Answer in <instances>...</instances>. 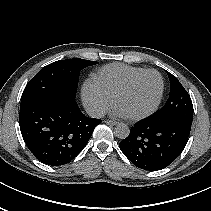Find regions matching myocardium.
Here are the masks:
<instances>
[{
  "label": "myocardium",
  "mask_w": 211,
  "mask_h": 211,
  "mask_svg": "<svg viewBox=\"0 0 211 211\" xmlns=\"http://www.w3.org/2000/svg\"><path fill=\"white\" fill-rule=\"evenodd\" d=\"M147 73H155L156 75H158V77L160 79V91H159L158 98H157L156 102L154 103V105L146 112L137 114V115L128 116V118L131 120H141V119L147 118L148 116L152 115L158 109V107L161 104V101L163 99L164 90H165V82H164V78H163L162 74L156 69H145V70L137 73L133 77H131L126 83H124L113 94V102L115 103L119 96L126 93L139 78H141L143 75H145Z\"/></svg>",
  "instance_id": "1"
}]
</instances>
